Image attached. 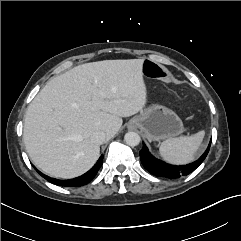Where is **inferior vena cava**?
I'll return each instance as SVG.
<instances>
[{"mask_svg": "<svg viewBox=\"0 0 241 241\" xmlns=\"http://www.w3.org/2000/svg\"><path fill=\"white\" fill-rule=\"evenodd\" d=\"M90 139L94 144L101 145L104 143L106 135L103 131H96L91 135Z\"/></svg>", "mask_w": 241, "mask_h": 241, "instance_id": "1", "label": "inferior vena cava"}]
</instances>
